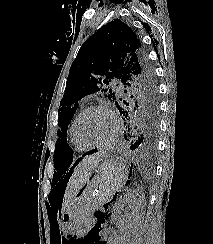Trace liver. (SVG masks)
Masks as SVG:
<instances>
[{
	"label": "liver",
	"instance_id": "obj_1",
	"mask_svg": "<svg viewBox=\"0 0 213 244\" xmlns=\"http://www.w3.org/2000/svg\"><path fill=\"white\" fill-rule=\"evenodd\" d=\"M102 155H104L103 152H98L96 154L87 156L76 166L67 184L62 205L63 212L67 209L78 191L91 177Z\"/></svg>",
	"mask_w": 213,
	"mask_h": 244
}]
</instances>
